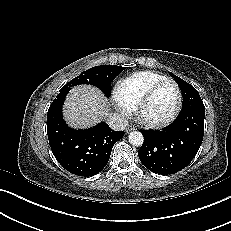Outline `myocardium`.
I'll return each instance as SVG.
<instances>
[{"mask_svg":"<svg viewBox=\"0 0 231 231\" xmlns=\"http://www.w3.org/2000/svg\"><path fill=\"white\" fill-rule=\"evenodd\" d=\"M165 83L173 84L175 89H176L177 100H176V104L174 106V109L172 110V112L167 117H165L164 119H161V120H151V119L144 117L143 110H144L147 102L149 101V99L151 98L153 93L161 85H163ZM181 104H182V94H181V90H180L179 85L173 79L165 78V79H162L159 82L155 83L154 85H152L143 94V96L141 97V99L139 100V102L137 103V105L135 107L134 115H135L136 120L139 123H141L142 125L150 127V128H160V127L168 125L169 123H171L176 118V116L180 110Z\"/></svg>","mask_w":231,"mask_h":231,"instance_id":"myocardium-1","label":"myocardium"}]
</instances>
